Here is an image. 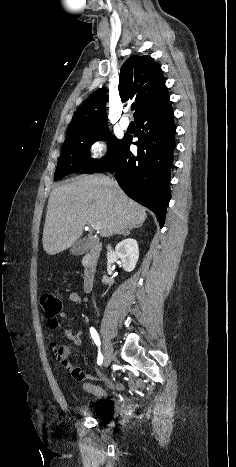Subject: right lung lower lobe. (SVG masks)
<instances>
[{
	"instance_id": "right-lung-lower-lobe-1",
	"label": "right lung lower lobe",
	"mask_w": 236,
	"mask_h": 467,
	"mask_svg": "<svg viewBox=\"0 0 236 467\" xmlns=\"http://www.w3.org/2000/svg\"><path fill=\"white\" fill-rule=\"evenodd\" d=\"M138 147L133 154L131 137L124 141L117 154L94 173L115 171V178L123 191L133 200L156 214L163 227L166 208L171 199L168 183L175 148L173 110L169 97L141 114L135 120Z\"/></svg>"
}]
</instances>
